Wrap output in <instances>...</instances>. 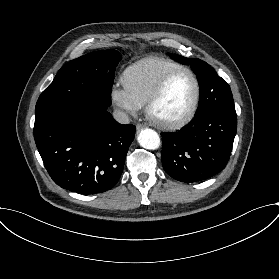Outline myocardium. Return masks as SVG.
I'll use <instances>...</instances> for the list:
<instances>
[{
    "instance_id": "obj_1",
    "label": "myocardium",
    "mask_w": 279,
    "mask_h": 279,
    "mask_svg": "<svg viewBox=\"0 0 279 279\" xmlns=\"http://www.w3.org/2000/svg\"><path fill=\"white\" fill-rule=\"evenodd\" d=\"M183 73L189 74L192 77L193 82H194L195 90H194V96H193L190 106L180 117H178L176 119L164 120V119L159 118L155 114V106H156L157 102L164 95V93L167 90L170 83L177 76H179ZM200 94H201L200 82L192 70H190L188 68H183V69L173 71V72L167 74L161 80V82L158 84V86L155 88V90L150 95V97L148 99V103H147V115L153 123H155L156 125L164 128V129H168V130L179 129V128L187 125L195 116L198 106H199Z\"/></svg>"
}]
</instances>
